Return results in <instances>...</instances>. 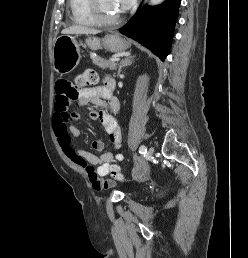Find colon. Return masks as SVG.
Here are the masks:
<instances>
[{"label":"colon","mask_w":248,"mask_h":258,"mask_svg":"<svg viewBox=\"0 0 248 258\" xmlns=\"http://www.w3.org/2000/svg\"><path fill=\"white\" fill-rule=\"evenodd\" d=\"M98 81V75L93 70H86L84 72L79 73L75 78V86L72 89V96L76 98L79 92L87 87L96 84ZM111 176L113 179L117 181H123L124 175L121 173L118 166H113L111 168Z\"/></svg>","instance_id":"obj_1"}]
</instances>
